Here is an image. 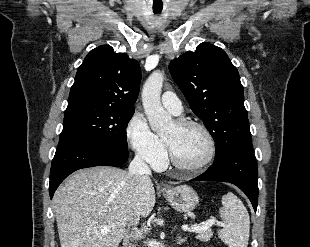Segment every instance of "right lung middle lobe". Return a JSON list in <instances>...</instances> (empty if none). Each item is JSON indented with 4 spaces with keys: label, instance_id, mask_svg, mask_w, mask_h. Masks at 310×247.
<instances>
[{
    "label": "right lung middle lobe",
    "instance_id": "obj_1",
    "mask_svg": "<svg viewBox=\"0 0 310 247\" xmlns=\"http://www.w3.org/2000/svg\"><path fill=\"white\" fill-rule=\"evenodd\" d=\"M134 111L111 108H72L65 111L59 142L87 140L117 149H127L126 128Z\"/></svg>",
    "mask_w": 310,
    "mask_h": 247
}]
</instances>
